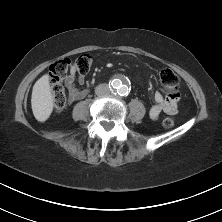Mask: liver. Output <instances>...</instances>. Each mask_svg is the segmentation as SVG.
I'll list each match as a JSON object with an SVG mask.
<instances>
[{
  "label": "liver",
  "instance_id": "liver-1",
  "mask_svg": "<svg viewBox=\"0 0 222 222\" xmlns=\"http://www.w3.org/2000/svg\"><path fill=\"white\" fill-rule=\"evenodd\" d=\"M31 106L33 115L39 122L46 121L51 115L54 100L49 83V76L43 75L36 81L32 90Z\"/></svg>",
  "mask_w": 222,
  "mask_h": 222
}]
</instances>
